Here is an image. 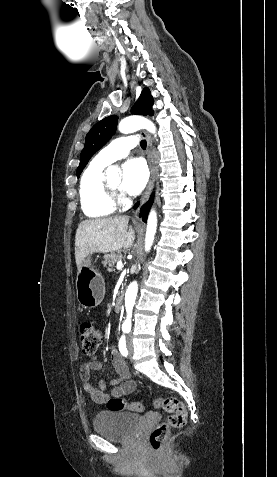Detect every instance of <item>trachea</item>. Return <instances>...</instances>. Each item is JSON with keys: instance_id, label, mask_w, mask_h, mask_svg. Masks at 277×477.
Here are the masks:
<instances>
[{"instance_id": "3493384b", "label": "trachea", "mask_w": 277, "mask_h": 477, "mask_svg": "<svg viewBox=\"0 0 277 477\" xmlns=\"http://www.w3.org/2000/svg\"><path fill=\"white\" fill-rule=\"evenodd\" d=\"M146 145H147L146 140H142V141L140 142V146H141L142 149H146Z\"/></svg>"}]
</instances>
